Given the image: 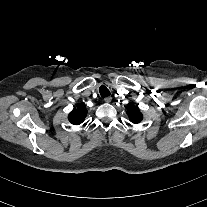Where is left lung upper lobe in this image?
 I'll list each match as a JSON object with an SVG mask.
<instances>
[{"mask_svg": "<svg viewBox=\"0 0 207 207\" xmlns=\"http://www.w3.org/2000/svg\"><path fill=\"white\" fill-rule=\"evenodd\" d=\"M127 115L132 123H139L143 119V115L133 103L127 105Z\"/></svg>", "mask_w": 207, "mask_h": 207, "instance_id": "5c2ea615", "label": "left lung upper lobe"}]
</instances>
